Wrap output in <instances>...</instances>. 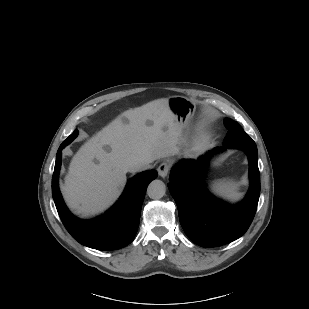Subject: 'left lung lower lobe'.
I'll return each instance as SVG.
<instances>
[{
	"label": "left lung lower lobe",
	"instance_id": "obj_1",
	"mask_svg": "<svg viewBox=\"0 0 309 309\" xmlns=\"http://www.w3.org/2000/svg\"><path fill=\"white\" fill-rule=\"evenodd\" d=\"M244 150L249 160L250 189L245 199L228 205L214 198L202 181V171L216 147L198 160L184 159L171 171L168 187L177 204L181 226L186 235L202 247H216L241 237L249 228L259 200L260 174L257 146L252 139L225 144Z\"/></svg>",
	"mask_w": 309,
	"mask_h": 309
}]
</instances>
